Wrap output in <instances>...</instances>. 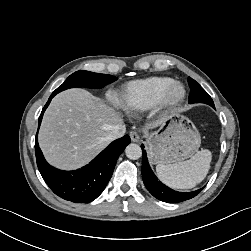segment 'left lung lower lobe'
<instances>
[{
	"instance_id": "obj_1",
	"label": "left lung lower lobe",
	"mask_w": 251,
	"mask_h": 251,
	"mask_svg": "<svg viewBox=\"0 0 251 251\" xmlns=\"http://www.w3.org/2000/svg\"><path fill=\"white\" fill-rule=\"evenodd\" d=\"M215 108V107H214ZM142 148V178L146 188L149 192L157 199L167 202V203H179L188 199L195 197L201 192V189L193 192H177L163 183H161L157 177L152 172L148 160L146 151L144 150V145H141Z\"/></svg>"
}]
</instances>
